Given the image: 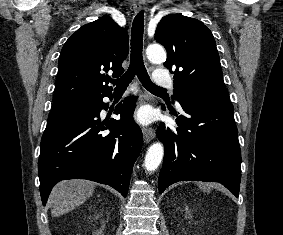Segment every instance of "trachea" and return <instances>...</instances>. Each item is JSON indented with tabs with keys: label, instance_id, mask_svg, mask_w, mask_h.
Returning <instances> with one entry per match:
<instances>
[{
	"label": "trachea",
	"instance_id": "obj_1",
	"mask_svg": "<svg viewBox=\"0 0 283 235\" xmlns=\"http://www.w3.org/2000/svg\"><path fill=\"white\" fill-rule=\"evenodd\" d=\"M143 31H144V13L139 12L132 24L131 29V57L128 70L118 79L111 80L116 85L115 90H124L128 87L135 75L142 85L150 92H163L164 88L152 83L147 70L144 66L142 48H143Z\"/></svg>",
	"mask_w": 283,
	"mask_h": 235
}]
</instances>
